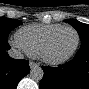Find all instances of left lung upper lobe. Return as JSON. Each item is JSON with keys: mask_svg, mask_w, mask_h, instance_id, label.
<instances>
[{"mask_svg": "<svg viewBox=\"0 0 89 89\" xmlns=\"http://www.w3.org/2000/svg\"><path fill=\"white\" fill-rule=\"evenodd\" d=\"M65 22L71 24L78 32L81 42L89 41V25L75 19H67Z\"/></svg>", "mask_w": 89, "mask_h": 89, "instance_id": "left-lung-upper-lobe-1", "label": "left lung upper lobe"}]
</instances>
